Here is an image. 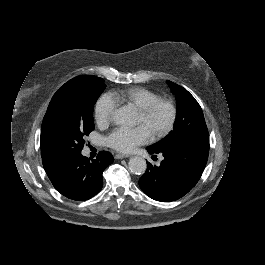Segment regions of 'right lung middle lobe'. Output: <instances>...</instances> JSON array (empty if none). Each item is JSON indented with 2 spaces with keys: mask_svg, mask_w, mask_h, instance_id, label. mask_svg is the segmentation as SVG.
<instances>
[{
  "mask_svg": "<svg viewBox=\"0 0 265 265\" xmlns=\"http://www.w3.org/2000/svg\"><path fill=\"white\" fill-rule=\"evenodd\" d=\"M105 87L103 79L82 75L54 94L41 128L42 162L66 160L81 153L84 137L94 130L93 106Z\"/></svg>",
  "mask_w": 265,
  "mask_h": 265,
  "instance_id": "right-lung-middle-lobe-1",
  "label": "right lung middle lobe"
}]
</instances>
